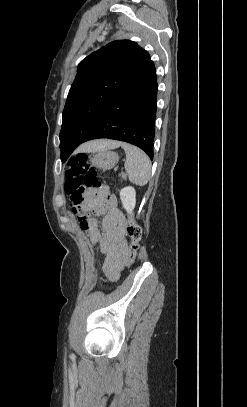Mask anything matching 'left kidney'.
Masks as SVG:
<instances>
[{
	"label": "left kidney",
	"instance_id": "obj_1",
	"mask_svg": "<svg viewBox=\"0 0 247 407\" xmlns=\"http://www.w3.org/2000/svg\"><path fill=\"white\" fill-rule=\"evenodd\" d=\"M120 199L123 208L128 212L132 213L136 205V191L132 186H127L120 191Z\"/></svg>",
	"mask_w": 247,
	"mask_h": 407
}]
</instances>
